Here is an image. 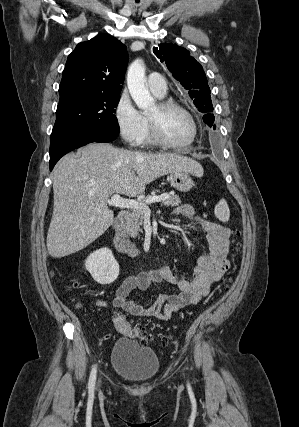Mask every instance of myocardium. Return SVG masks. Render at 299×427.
<instances>
[{
  "label": "myocardium",
  "instance_id": "1",
  "mask_svg": "<svg viewBox=\"0 0 299 427\" xmlns=\"http://www.w3.org/2000/svg\"><path fill=\"white\" fill-rule=\"evenodd\" d=\"M157 106L160 111H165L168 109H177L182 113H184L191 122L192 134L190 139L185 143L172 142L162 134L158 121L155 118L147 116L149 129H150V133L153 141L163 147L172 148V149H182L192 145L195 142L198 135V124L193 114L185 106L172 100L160 101L157 103Z\"/></svg>",
  "mask_w": 299,
  "mask_h": 427
}]
</instances>
